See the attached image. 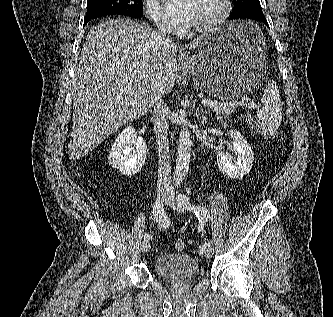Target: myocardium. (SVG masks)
<instances>
[{
    "label": "myocardium",
    "instance_id": "myocardium-1",
    "mask_svg": "<svg viewBox=\"0 0 333 317\" xmlns=\"http://www.w3.org/2000/svg\"><path fill=\"white\" fill-rule=\"evenodd\" d=\"M218 4V10L215 16L200 26H193L192 30L196 33H209L218 28L229 16L231 11L230 0H216Z\"/></svg>",
    "mask_w": 333,
    "mask_h": 317
}]
</instances>
